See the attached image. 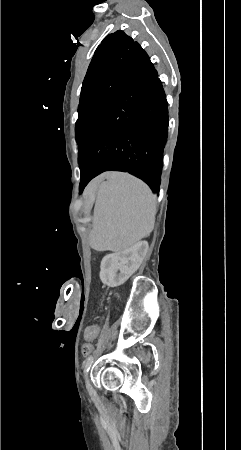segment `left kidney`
<instances>
[{"label": "left kidney", "instance_id": "5707ae66", "mask_svg": "<svg viewBox=\"0 0 241 450\" xmlns=\"http://www.w3.org/2000/svg\"><path fill=\"white\" fill-rule=\"evenodd\" d=\"M148 248V242H138L132 248L123 250L119 254L104 256L100 266L101 282L109 288H116L127 282L128 278L141 266Z\"/></svg>", "mask_w": 241, "mask_h": 450}]
</instances>
